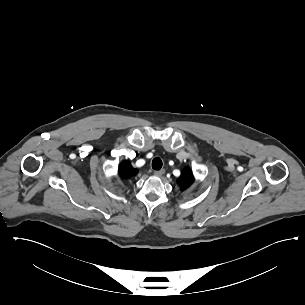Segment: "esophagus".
<instances>
[{
    "mask_svg": "<svg viewBox=\"0 0 305 305\" xmlns=\"http://www.w3.org/2000/svg\"><path fill=\"white\" fill-rule=\"evenodd\" d=\"M165 173V169H161L160 171H155L154 175L157 177H161Z\"/></svg>",
    "mask_w": 305,
    "mask_h": 305,
    "instance_id": "1",
    "label": "esophagus"
}]
</instances>
